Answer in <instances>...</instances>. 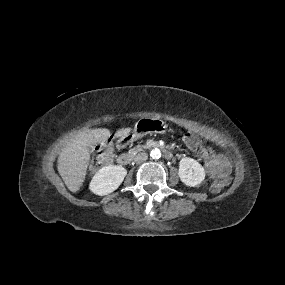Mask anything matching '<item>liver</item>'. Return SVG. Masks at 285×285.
<instances>
[{
  "mask_svg": "<svg viewBox=\"0 0 285 285\" xmlns=\"http://www.w3.org/2000/svg\"><path fill=\"white\" fill-rule=\"evenodd\" d=\"M130 128L118 131V136L126 135ZM110 135L108 129H93L79 133L67 146L65 154L59 166L60 175L71 192H76L82 186L90 153L88 147L98 143H104Z\"/></svg>",
  "mask_w": 285,
  "mask_h": 285,
  "instance_id": "1",
  "label": "liver"
}]
</instances>
